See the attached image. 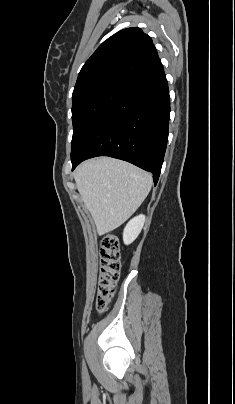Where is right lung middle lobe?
Masks as SVG:
<instances>
[{
    "label": "right lung middle lobe",
    "mask_w": 235,
    "mask_h": 404,
    "mask_svg": "<svg viewBox=\"0 0 235 404\" xmlns=\"http://www.w3.org/2000/svg\"><path fill=\"white\" fill-rule=\"evenodd\" d=\"M127 84L117 81L94 84L73 95L71 154L99 119L119 100Z\"/></svg>",
    "instance_id": "obj_1"
}]
</instances>
